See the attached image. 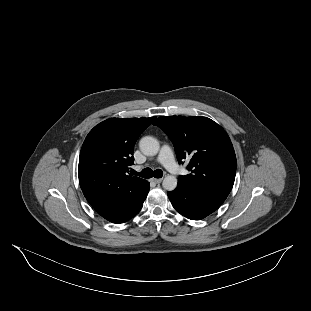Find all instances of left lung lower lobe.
I'll return each mask as SVG.
<instances>
[{
  "label": "left lung lower lobe",
  "mask_w": 311,
  "mask_h": 311,
  "mask_svg": "<svg viewBox=\"0 0 311 311\" xmlns=\"http://www.w3.org/2000/svg\"><path fill=\"white\" fill-rule=\"evenodd\" d=\"M167 194L176 211L192 220L205 218L226 199L222 195L201 192L180 184Z\"/></svg>",
  "instance_id": "left-lung-lower-lobe-1"
}]
</instances>
